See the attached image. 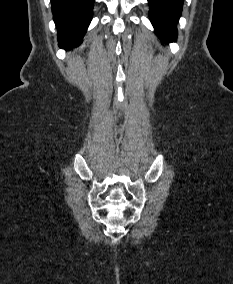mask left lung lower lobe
I'll return each instance as SVG.
<instances>
[{"instance_id":"0a47b994","label":"left lung lower lobe","mask_w":233,"mask_h":284,"mask_svg":"<svg viewBox=\"0 0 233 284\" xmlns=\"http://www.w3.org/2000/svg\"><path fill=\"white\" fill-rule=\"evenodd\" d=\"M184 0H148L149 18L157 35L165 42L177 38V23L182 12Z\"/></svg>"}]
</instances>
